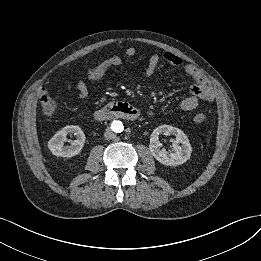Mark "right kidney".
<instances>
[{
  "label": "right kidney",
  "mask_w": 261,
  "mask_h": 261,
  "mask_svg": "<svg viewBox=\"0 0 261 261\" xmlns=\"http://www.w3.org/2000/svg\"><path fill=\"white\" fill-rule=\"evenodd\" d=\"M68 134L76 136V140L72 141L70 146H64ZM85 139V134L79 126L68 125L56 132L48 141V148L57 157L70 158L81 152Z\"/></svg>",
  "instance_id": "ca27d5eb"
}]
</instances>
